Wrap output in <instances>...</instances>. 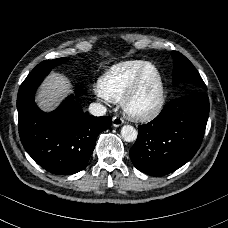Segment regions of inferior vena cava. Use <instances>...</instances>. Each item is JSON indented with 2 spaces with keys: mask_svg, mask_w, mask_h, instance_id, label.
<instances>
[{
  "mask_svg": "<svg viewBox=\"0 0 228 228\" xmlns=\"http://www.w3.org/2000/svg\"><path fill=\"white\" fill-rule=\"evenodd\" d=\"M89 112L94 116H103L106 114V107L100 103H91L89 105Z\"/></svg>",
  "mask_w": 228,
  "mask_h": 228,
  "instance_id": "inferior-vena-cava-1",
  "label": "inferior vena cava"
}]
</instances>
